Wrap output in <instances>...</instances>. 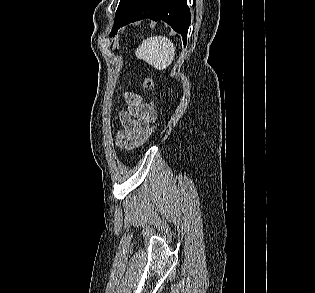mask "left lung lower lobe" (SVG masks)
Wrapping results in <instances>:
<instances>
[{
    "label": "left lung lower lobe",
    "mask_w": 315,
    "mask_h": 293,
    "mask_svg": "<svg viewBox=\"0 0 315 293\" xmlns=\"http://www.w3.org/2000/svg\"><path fill=\"white\" fill-rule=\"evenodd\" d=\"M163 20L173 30L179 32L186 43L187 32L191 22L190 10L186 0H139V2L123 17L114 31L119 27L141 19Z\"/></svg>",
    "instance_id": "0a47b994"
}]
</instances>
